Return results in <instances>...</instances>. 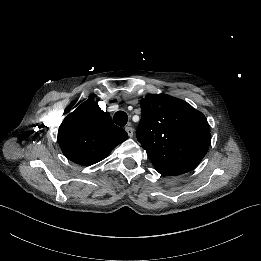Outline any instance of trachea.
I'll use <instances>...</instances> for the list:
<instances>
[{
	"label": "trachea",
	"mask_w": 261,
	"mask_h": 261,
	"mask_svg": "<svg viewBox=\"0 0 261 261\" xmlns=\"http://www.w3.org/2000/svg\"><path fill=\"white\" fill-rule=\"evenodd\" d=\"M113 120L118 126H125L128 122V115L124 111H117Z\"/></svg>",
	"instance_id": "3493384b"
}]
</instances>
